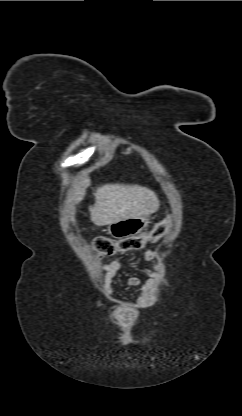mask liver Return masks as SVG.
I'll use <instances>...</instances> for the list:
<instances>
[{"mask_svg":"<svg viewBox=\"0 0 242 416\" xmlns=\"http://www.w3.org/2000/svg\"><path fill=\"white\" fill-rule=\"evenodd\" d=\"M90 179L83 176L76 181L68 194L70 203L82 201ZM95 204L90 206V219L97 226L134 217L149 216L160 206L157 195L147 187L126 184H105L97 187Z\"/></svg>","mask_w":242,"mask_h":416,"instance_id":"6515ba94","label":"liver"}]
</instances>
